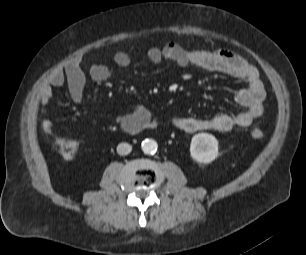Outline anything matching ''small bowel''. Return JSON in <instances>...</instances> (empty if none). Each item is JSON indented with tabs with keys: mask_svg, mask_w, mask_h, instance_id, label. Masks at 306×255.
Listing matches in <instances>:
<instances>
[{
	"mask_svg": "<svg viewBox=\"0 0 306 255\" xmlns=\"http://www.w3.org/2000/svg\"><path fill=\"white\" fill-rule=\"evenodd\" d=\"M147 59L154 63L169 60L180 67L193 66L202 70L218 72L245 82L246 86L236 93V101L243 108L235 114H218L210 118L171 117V124L175 128L187 133L214 130L226 132L234 127H248L264 111L263 101L265 90L259 78L257 69L238 54L223 48L187 50L176 42H168L163 47L152 46L146 50ZM114 63L122 70L129 67L131 58L124 51H117L113 56ZM89 76L95 82H104L114 76L113 68L95 63L89 68ZM86 75L82 69L80 57L70 60L62 69L54 72L49 82L39 93V100L45 107L53 95L54 87L66 85L74 103L83 100ZM150 118L149 111L138 106L133 113L123 118L122 124L128 130L137 124H144ZM43 131L57 136L53 124L45 119L41 123Z\"/></svg>",
	"mask_w": 306,
	"mask_h": 255,
	"instance_id": "1",
	"label": "small bowel"
}]
</instances>
